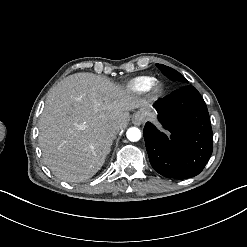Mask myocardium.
Wrapping results in <instances>:
<instances>
[{
	"label": "myocardium",
	"instance_id": "myocardium-1",
	"mask_svg": "<svg viewBox=\"0 0 247 247\" xmlns=\"http://www.w3.org/2000/svg\"><path fill=\"white\" fill-rule=\"evenodd\" d=\"M163 86L161 83L159 82H155L150 88L149 90L154 93V94H159L162 92Z\"/></svg>",
	"mask_w": 247,
	"mask_h": 247
}]
</instances>
